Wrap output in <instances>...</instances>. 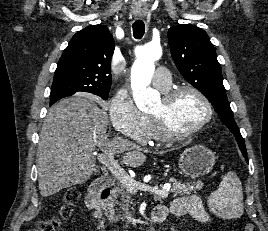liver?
<instances>
[{
	"mask_svg": "<svg viewBox=\"0 0 268 231\" xmlns=\"http://www.w3.org/2000/svg\"><path fill=\"white\" fill-rule=\"evenodd\" d=\"M108 115L85 95L54 104L44 120L37 151L38 185L47 197L99 174L95 148L122 155L124 164L138 167L146 160L142 148L122 137L108 139Z\"/></svg>",
	"mask_w": 268,
	"mask_h": 231,
	"instance_id": "liver-1",
	"label": "liver"
}]
</instances>
